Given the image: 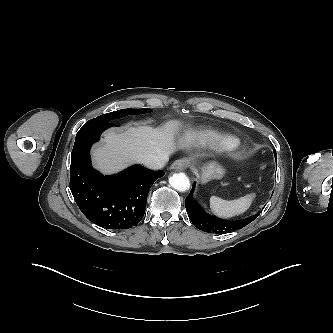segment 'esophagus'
Masks as SVG:
<instances>
[{"instance_id": "obj_1", "label": "esophagus", "mask_w": 333, "mask_h": 333, "mask_svg": "<svg viewBox=\"0 0 333 333\" xmlns=\"http://www.w3.org/2000/svg\"><path fill=\"white\" fill-rule=\"evenodd\" d=\"M187 168V163L184 159H178L174 161L171 165L172 170L183 171Z\"/></svg>"}]
</instances>
